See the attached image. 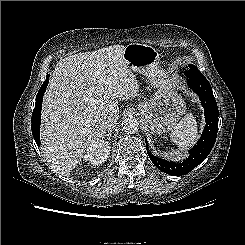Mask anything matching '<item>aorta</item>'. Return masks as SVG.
<instances>
[{
	"label": "aorta",
	"instance_id": "aorta-1",
	"mask_svg": "<svg viewBox=\"0 0 245 245\" xmlns=\"http://www.w3.org/2000/svg\"><path fill=\"white\" fill-rule=\"evenodd\" d=\"M122 129L127 134H134L139 129V122L135 117H126L122 121Z\"/></svg>",
	"mask_w": 245,
	"mask_h": 245
}]
</instances>
